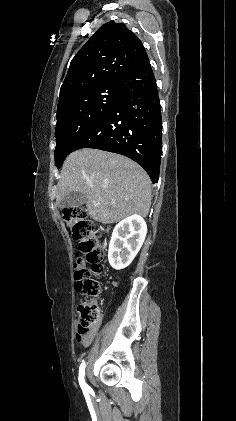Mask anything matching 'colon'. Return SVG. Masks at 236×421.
Here are the masks:
<instances>
[{
  "instance_id": "5ec220e1",
  "label": "colon",
  "mask_w": 236,
  "mask_h": 421,
  "mask_svg": "<svg viewBox=\"0 0 236 421\" xmlns=\"http://www.w3.org/2000/svg\"><path fill=\"white\" fill-rule=\"evenodd\" d=\"M64 221L72 238L78 242L79 250L85 259L77 256L74 263L75 288L80 294L96 297L101 291L100 282L94 274L102 272L101 262L104 259V245L99 231L86 219V211L81 207H72L64 211ZM85 261L91 264L87 268ZM101 309L93 300H84L78 306V325L76 340L82 342L85 335L91 332L101 320Z\"/></svg>"
}]
</instances>
